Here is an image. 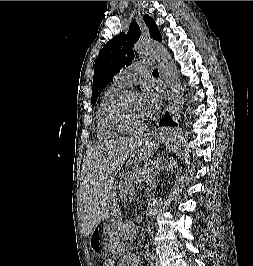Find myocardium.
<instances>
[{"label": "myocardium", "instance_id": "myocardium-1", "mask_svg": "<svg viewBox=\"0 0 253 266\" xmlns=\"http://www.w3.org/2000/svg\"><path fill=\"white\" fill-rule=\"evenodd\" d=\"M138 94L137 91L128 89L123 90L121 93H119L109 104L107 110H106V123L107 125L115 129L117 131H120L122 133H129L138 131L141 127H143L146 124V121L137 124V125H128L124 123L118 116V109L121 105V103L129 96Z\"/></svg>", "mask_w": 253, "mask_h": 266}]
</instances>
